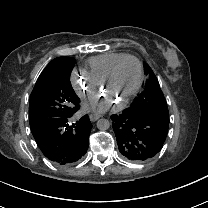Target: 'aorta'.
<instances>
[{
    "label": "aorta",
    "mask_w": 208,
    "mask_h": 208,
    "mask_svg": "<svg viewBox=\"0 0 208 208\" xmlns=\"http://www.w3.org/2000/svg\"><path fill=\"white\" fill-rule=\"evenodd\" d=\"M96 126L99 130H107L110 126V123L107 119H99L96 123Z\"/></svg>",
    "instance_id": "762f6f07"
}]
</instances>
